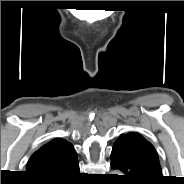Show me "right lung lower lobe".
<instances>
[{"instance_id":"1","label":"right lung lower lobe","mask_w":184,"mask_h":184,"mask_svg":"<svg viewBox=\"0 0 184 184\" xmlns=\"http://www.w3.org/2000/svg\"><path fill=\"white\" fill-rule=\"evenodd\" d=\"M79 175V164L77 158L72 160L59 172L47 176L35 178L36 184H72L75 178Z\"/></svg>"}]
</instances>
